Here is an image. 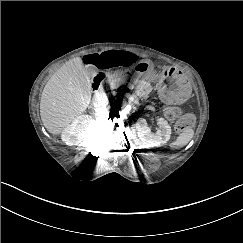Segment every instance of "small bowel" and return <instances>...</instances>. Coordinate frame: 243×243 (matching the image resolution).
<instances>
[{"label": "small bowel", "instance_id": "1", "mask_svg": "<svg viewBox=\"0 0 243 243\" xmlns=\"http://www.w3.org/2000/svg\"><path fill=\"white\" fill-rule=\"evenodd\" d=\"M135 53L124 50H106L84 56L86 65L98 68H128L138 61Z\"/></svg>", "mask_w": 243, "mask_h": 243}]
</instances>
